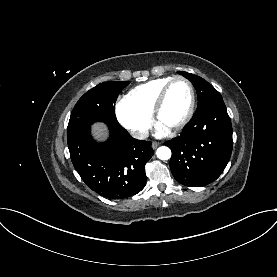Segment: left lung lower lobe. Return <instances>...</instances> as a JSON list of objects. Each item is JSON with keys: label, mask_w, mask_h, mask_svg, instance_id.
<instances>
[{"label": "left lung lower lobe", "mask_w": 277, "mask_h": 277, "mask_svg": "<svg viewBox=\"0 0 277 277\" xmlns=\"http://www.w3.org/2000/svg\"><path fill=\"white\" fill-rule=\"evenodd\" d=\"M172 150L174 178L189 187L215 181L225 169L233 147L232 125L222 98L197 110L180 136L165 143Z\"/></svg>", "instance_id": "left-lung-lower-lobe-1"}]
</instances>
